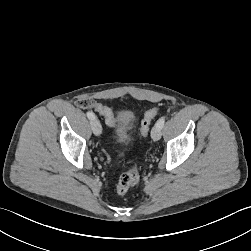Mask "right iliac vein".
Wrapping results in <instances>:
<instances>
[{
	"label": "right iliac vein",
	"instance_id": "right-iliac-vein-1",
	"mask_svg": "<svg viewBox=\"0 0 251 251\" xmlns=\"http://www.w3.org/2000/svg\"><path fill=\"white\" fill-rule=\"evenodd\" d=\"M91 128H92L93 133L96 136H99L101 134V132H102L101 124L97 119H92L91 120Z\"/></svg>",
	"mask_w": 251,
	"mask_h": 251
}]
</instances>
